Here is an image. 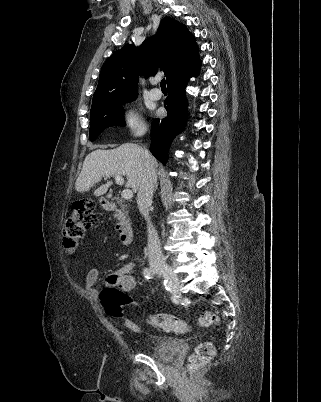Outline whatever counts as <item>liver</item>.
<instances>
[{"label":"liver","mask_w":321,"mask_h":402,"mask_svg":"<svg viewBox=\"0 0 321 402\" xmlns=\"http://www.w3.org/2000/svg\"><path fill=\"white\" fill-rule=\"evenodd\" d=\"M153 158V157H152ZM155 167L158 165L153 158ZM144 171V149L134 143H125L115 149H96L90 152L83 163L81 173L76 180V190L87 192L102 177L126 176V187L137 192L142 180ZM111 185L110 182L100 186L95 196L105 194Z\"/></svg>","instance_id":"6515ba94"}]
</instances>
